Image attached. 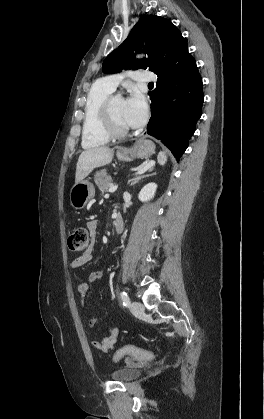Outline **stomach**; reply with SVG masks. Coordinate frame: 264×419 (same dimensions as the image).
<instances>
[{"label":"stomach","mask_w":264,"mask_h":419,"mask_svg":"<svg viewBox=\"0 0 264 419\" xmlns=\"http://www.w3.org/2000/svg\"><path fill=\"white\" fill-rule=\"evenodd\" d=\"M155 152V145L150 140H140L126 153H117V157L122 161H129L134 157L148 158ZM95 188L87 180L75 183L70 190V204L74 209L84 208L94 197Z\"/></svg>","instance_id":"1"}]
</instances>
